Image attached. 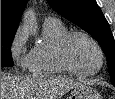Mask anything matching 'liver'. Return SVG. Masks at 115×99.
<instances>
[{
	"label": "liver",
	"instance_id": "1",
	"mask_svg": "<svg viewBox=\"0 0 115 99\" xmlns=\"http://www.w3.org/2000/svg\"><path fill=\"white\" fill-rule=\"evenodd\" d=\"M81 85L63 76H12L1 72V99H60Z\"/></svg>",
	"mask_w": 115,
	"mask_h": 99
}]
</instances>
